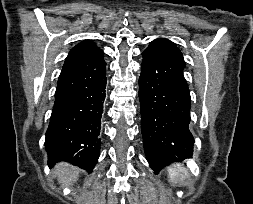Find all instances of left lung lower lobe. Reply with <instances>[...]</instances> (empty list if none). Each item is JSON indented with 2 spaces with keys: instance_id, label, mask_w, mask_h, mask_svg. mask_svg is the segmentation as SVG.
Returning a JSON list of instances; mask_svg holds the SVG:
<instances>
[{
  "instance_id": "0a47b994",
  "label": "left lung lower lobe",
  "mask_w": 253,
  "mask_h": 204,
  "mask_svg": "<svg viewBox=\"0 0 253 204\" xmlns=\"http://www.w3.org/2000/svg\"><path fill=\"white\" fill-rule=\"evenodd\" d=\"M142 56L139 99L143 144L151 168L158 172L172 162L192 157L191 98L182 56L158 45H149Z\"/></svg>"
}]
</instances>
